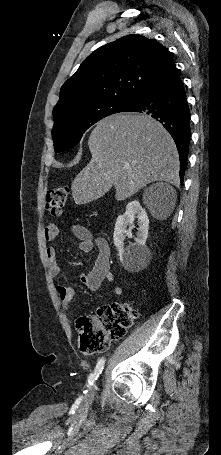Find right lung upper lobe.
I'll return each mask as SVG.
<instances>
[{
	"label": "right lung upper lobe",
	"instance_id": "right-lung-upper-lobe-1",
	"mask_svg": "<svg viewBox=\"0 0 221 455\" xmlns=\"http://www.w3.org/2000/svg\"><path fill=\"white\" fill-rule=\"evenodd\" d=\"M169 57L153 39L124 36L88 56L61 87L54 120L108 100L132 102Z\"/></svg>",
	"mask_w": 221,
	"mask_h": 455
}]
</instances>
